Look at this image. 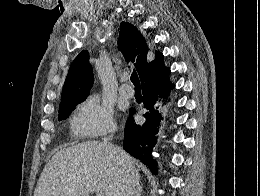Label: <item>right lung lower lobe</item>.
I'll list each match as a JSON object with an SVG mask.
<instances>
[{
  "label": "right lung lower lobe",
  "instance_id": "right-lung-lower-lobe-1",
  "mask_svg": "<svg viewBox=\"0 0 260 196\" xmlns=\"http://www.w3.org/2000/svg\"><path fill=\"white\" fill-rule=\"evenodd\" d=\"M170 70L154 80H147L142 83L143 92V104L148 110L143 116L145 117V123L138 125L134 122L132 116H130L126 122L124 133V149L141 160L147 165L153 173L156 171V161L153 160L151 152L156 143L155 134L158 132V122L162 118L158 113V110L154 108V104L159 97H166L170 90L174 88V84L169 81ZM135 110L131 109L130 114H134Z\"/></svg>",
  "mask_w": 260,
  "mask_h": 196
}]
</instances>
